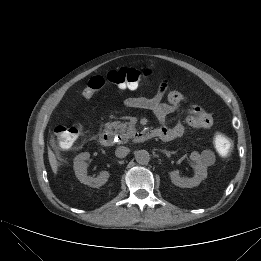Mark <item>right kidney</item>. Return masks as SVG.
Wrapping results in <instances>:
<instances>
[{"label":"right kidney","mask_w":261,"mask_h":261,"mask_svg":"<svg viewBox=\"0 0 261 261\" xmlns=\"http://www.w3.org/2000/svg\"><path fill=\"white\" fill-rule=\"evenodd\" d=\"M90 158V154L88 152L80 153L74 159V171L78 180L90 187L98 188L104 185L110 176L107 171H102L99 176L93 178L87 175V163L86 160Z\"/></svg>","instance_id":"right-kidney-1"}]
</instances>
